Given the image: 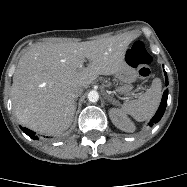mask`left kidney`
Masks as SVG:
<instances>
[{"label":"left kidney","mask_w":187,"mask_h":187,"mask_svg":"<svg viewBox=\"0 0 187 187\" xmlns=\"http://www.w3.org/2000/svg\"><path fill=\"white\" fill-rule=\"evenodd\" d=\"M109 116L112 123L120 130L125 132H132L134 130L133 123L121 110L116 108L110 109Z\"/></svg>","instance_id":"5707ae66"}]
</instances>
